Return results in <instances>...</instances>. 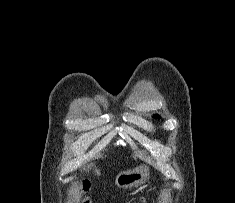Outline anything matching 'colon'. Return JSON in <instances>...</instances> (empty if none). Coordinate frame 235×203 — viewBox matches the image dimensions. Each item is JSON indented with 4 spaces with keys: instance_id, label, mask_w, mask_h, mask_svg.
Returning a JSON list of instances; mask_svg holds the SVG:
<instances>
[{
    "instance_id": "1",
    "label": "colon",
    "mask_w": 235,
    "mask_h": 203,
    "mask_svg": "<svg viewBox=\"0 0 235 203\" xmlns=\"http://www.w3.org/2000/svg\"><path fill=\"white\" fill-rule=\"evenodd\" d=\"M81 190L86 193L89 190V183L87 181H82L81 183ZM82 203H92L88 197H84ZM138 203V202H135Z\"/></svg>"
}]
</instances>
